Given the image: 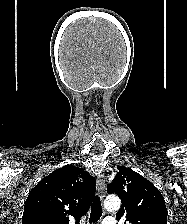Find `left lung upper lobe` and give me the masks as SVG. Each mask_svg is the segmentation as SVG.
Segmentation results:
<instances>
[{
	"instance_id": "obj_1",
	"label": "left lung upper lobe",
	"mask_w": 187,
	"mask_h": 224,
	"mask_svg": "<svg viewBox=\"0 0 187 224\" xmlns=\"http://www.w3.org/2000/svg\"><path fill=\"white\" fill-rule=\"evenodd\" d=\"M108 185V194L115 193L122 200L116 217H126L131 224H167L165 201L158 189L130 168L120 166Z\"/></svg>"
}]
</instances>
